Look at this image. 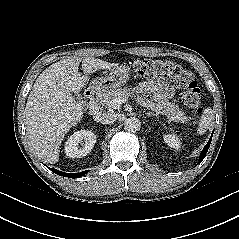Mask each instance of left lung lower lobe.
Returning <instances> with one entry per match:
<instances>
[{"mask_svg": "<svg viewBox=\"0 0 239 239\" xmlns=\"http://www.w3.org/2000/svg\"><path fill=\"white\" fill-rule=\"evenodd\" d=\"M212 136H213V133L211 135V138L209 139L208 143L206 144V146L204 147L201 155H200V159H199V162H201L204 158H205V155L210 147V144H211V140H212Z\"/></svg>", "mask_w": 239, "mask_h": 239, "instance_id": "obj_1", "label": "left lung lower lobe"}]
</instances>
